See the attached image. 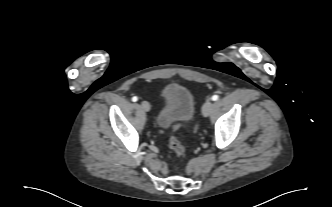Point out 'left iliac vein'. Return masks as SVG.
Returning a JSON list of instances; mask_svg holds the SVG:
<instances>
[{
	"label": "left iliac vein",
	"instance_id": "left-iliac-vein-1",
	"mask_svg": "<svg viewBox=\"0 0 332 207\" xmlns=\"http://www.w3.org/2000/svg\"><path fill=\"white\" fill-rule=\"evenodd\" d=\"M211 110H212V102L211 100H207L202 107L203 116L207 117L210 114Z\"/></svg>",
	"mask_w": 332,
	"mask_h": 207
}]
</instances>
